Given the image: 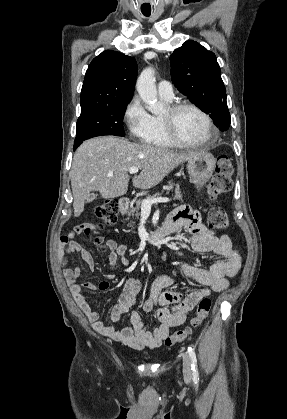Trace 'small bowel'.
<instances>
[{"label": "small bowel", "mask_w": 287, "mask_h": 419, "mask_svg": "<svg viewBox=\"0 0 287 419\" xmlns=\"http://www.w3.org/2000/svg\"><path fill=\"white\" fill-rule=\"evenodd\" d=\"M165 225L169 226L172 231L181 228L187 229L191 235L192 249L199 253L212 252L215 258L214 263L208 269L191 266L185 262L181 263L184 274L202 284L204 286L202 289L186 294L174 291L162 292L163 288L174 282V278L169 274H161L154 279L150 288V297L142 306L145 312H154L160 322L154 331H149L146 328L137 311L130 314L131 326L116 329L113 326L105 325L82 293L83 288L102 293L110 287L109 281H101L98 284L92 282L79 284L76 280L81 276L82 269L80 267L68 268V255L76 253L90 270L94 269L93 257L76 241L77 235L90 232L92 229L90 224L78 225L69 233L60 236L59 239L57 258L79 308L99 333L136 350H142L145 347L152 349L159 347L162 341L169 336L170 328L183 324L188 314L201 299L210 296L213 292H220L227 288L228 278L235 276L241 266V256L233 246L230 237L228 235L215 236L202 224L200 214L192 208L177 207L168 216ZM106 246L109 249L108 263L111 267H115L119 260L123 265H129L126 246L118 244L112 239L106 241ZM139 291V280L129 277L117 304L111 311L113 322H118L120 317L135 304Z\"/></svg>", "instance_id": "1"}]
</instances>
